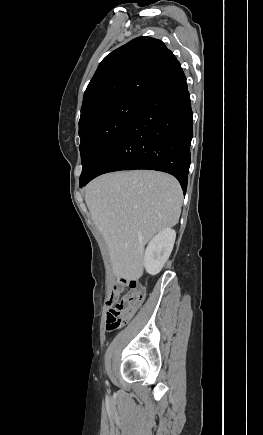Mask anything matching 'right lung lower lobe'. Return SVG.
Instances as JSON below:
<instances>
[{"label":"right lung lower lobe","mask_w":263,"mask_h":435,"mask_svg":"<svg viewBox=\"0 0 263 435\" xmlns=\"http://www.w3.org/2000/svg\"><path fill=\"white\" fill-rule=\"evenodd\" d=\"M193 114L183 70L151 95L131 119L96 171L151 169L175 176L184 192L190 166Z\"/></svg>","instance_id":"1"}]
</instances>
